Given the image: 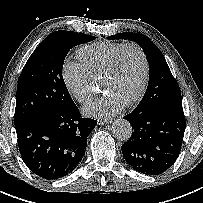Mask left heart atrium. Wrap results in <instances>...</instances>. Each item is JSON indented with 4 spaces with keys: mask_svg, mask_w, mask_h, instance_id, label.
Returning a JSON list of instances; mask_svg holds the SVG:
<instances>
[{
    "mask_svg": "<svg viewBox=\"0 0 203 203\" xmlns=\"http://www.w3.org/2000/svg\"><path fill=\"white\" fill-rule=\"evenodd\" d=\"M123 105L119 99L104 94L89 100L84 107V113L89 116L109 117L119 112Z\"/></svg>",
    "mask_w": 203,
    "mask_h": 203,
    "instance_id": "39dd6f15",
    "label": "left heart atrium"
}]
</instances>
